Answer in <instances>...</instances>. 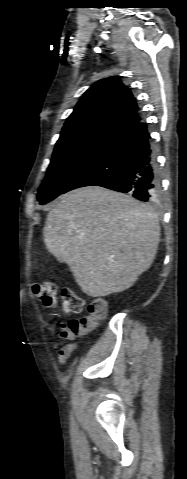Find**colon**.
<instances>
[{"label": "colon", "instance_id": "5ec220e1", "mask_svg": "<svg viewBox=\"0 0 187 479\" xmlns=\"http://www.w3.org/2000/svg\"><path fill=\"white\" fill-rule=\"evenodd\" d=\"M33 294L47 307H54L59 304L61 310L66 314H79L85 307L84 300L72 288L65 287L57 292L55 285L50 281L34 284ZM87 310L88 315L61 324L59 336L61 338H74L92 331L97 322L106 316L107 303L103 298H94L87 305Z\"/></svg>", "mask_w": 187, "mask_h": 479}]
</instances>
